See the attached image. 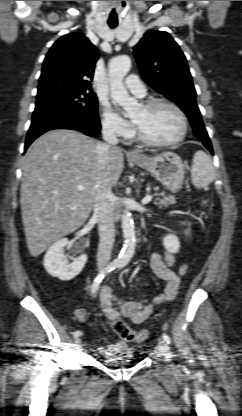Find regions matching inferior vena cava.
Returning <instances> with one entry per match:
<instances>
[{"instance_id": "obj_1", "label": "inferior vena cava", "mask_w": 242, "mask_h": 416, "mask_svg": "<svg viewBox=\"0 0 242 416\" xmlns=\"http://www.w3.org/2000/svg\"><path fill=\"white\" fill-rule=\"evenodd\" d=\"M103 143L99 144V166L103 169L111 150L116 149L118 139L112 124L105 121L102 126ZM114 195L102 175L98 178L94 197V215L98 219L99 246L97 252V266L104 269L111 259V252L115 237L114 228Z\"/></svg>"}]
</instances>
